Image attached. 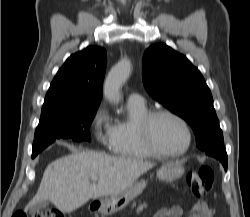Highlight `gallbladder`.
<instances>
[{
  "mask_svg": "<svg viewBox=\"0 0 250 217\" xmlns=\"http://www.w3.org/2000/svg\"><path fill=\"white\" fill-rule=\"evenodd\" d=\"M48 205H49L48 201H44V202H41L39 204H36L33 207H31L30 213H32V214L38 213L41 209L47 207Z\"/></svg>",
  "mask_w": 250,
  "mask_h": 217,
  "instance_id": "obj_1",
  "label": "gallbladder"
}]
</instances>
